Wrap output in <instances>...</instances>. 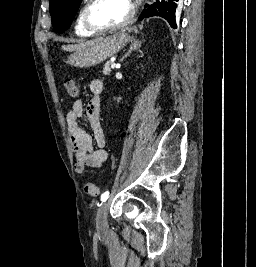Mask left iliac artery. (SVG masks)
Wrapping results in <instances>:
<instances>
[{
	"mask_svg": "<svg viewBox=\"0 0 256 267\" xmlns=\"http://www.w3.org/2000/svg\"><path fill=\"white\" fill-rule=\"evenodd\" d=\"M108 197H109V192H108V191L104 192V193L101 195V201H102V202H105V201L108 199Z\"/></svg>",
	"mask_w": 256,
	"mask_h": 267,
	"instance_id": "left-iliac-artery-1",
	"label": "left iliac artery"
}]
</instances>
